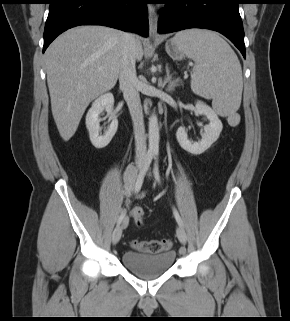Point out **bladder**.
Masks as SVG:
<instances>
[{
	"mask_svg": "<svg viewBox=\"0 0 290 321\" xmlns=\"http://www.w3.org/2000/svg\"><path fill=\"white\" fill-rule=\"evenodd\" d=\"M176 253L172 250L161 253L126 251L122 254L123 265L143 278H153L166 273L174 264Z\"/></svg>",
	"mask_w": 290,
	"mask_h": 321,
	"instance_id": "bladder-1",
	"label": "bladder"
}]
</instances>
